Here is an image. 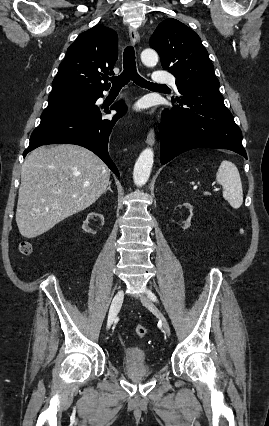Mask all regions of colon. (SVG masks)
<instances>
[{
  "instance_id": "obj_1",
  "label": "colon",
  "mask_w": 269,
  "mask_h": 426,
  "mask_svg": "<svg viewBox=\"0 0 269 426\" xmlns=\"http://www.w3.org/2000/svg\"><path fill=\"white\" fill-rule=\"evenodd\" d=\"M19 251L24 254H30L32 251V244L28 241H23L19 245ZM135 333L138 337L144 338L148 335V328L143 324H138L135 327Z\"/></svg>"
}]
</instances>
